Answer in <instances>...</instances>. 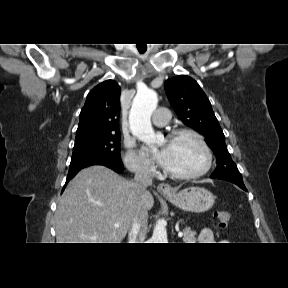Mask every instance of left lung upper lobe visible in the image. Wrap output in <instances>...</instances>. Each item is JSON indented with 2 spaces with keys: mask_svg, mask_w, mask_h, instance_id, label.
Returning a JSON list of instances; mask_svg holds the SVG:
<instances>
[{
  "mask_svg": "<svg viewBox=\"0 0 288 288\" xmlns=\"http://www.w3.org/2000/svg\"><path fill=\"white\" fill-rule=\"evenodd\" d=\"M167 97L178 117L189 127L206 137L208 146L217 158L212 178L243 183L241 174L233 162L225 144V136L215 117L211 103L199 84L186 75L165 81Z\"/></svg>",
  "mask_w": 288,
  "mask_h": 288,
  "instance_id": "5c2ea615",
  "label": "left lung upper lobe"
}]
</instances>
